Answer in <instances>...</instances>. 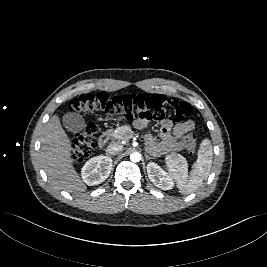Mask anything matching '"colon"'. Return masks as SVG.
<instances>
[{
    "mask_svg": "<svg viewBox=\"0 0 267 267\" xmlns=\"http://www.w3.org/2000/svg\"><path fill=\"white\" fill-rule=\"evenodd\" d=\"M69 110L87 116L103 114L126 120H171L175 122L183 121L193 114L189 103L152 93L124 94L115 97H110L103 92L81 95L70 102ZM97 131L96 124L89 122L85 129L77 134L72 143L74 160L82 161L90 156L96 146ZM185 145L188 152L194 154L197 146L194 131L186 136Z\"/></svg>",
    "mask_w": 267,
    "mask_h": 267,
    "instance_id": "colon-1",
    "label": "colon"
}]
</instances>
